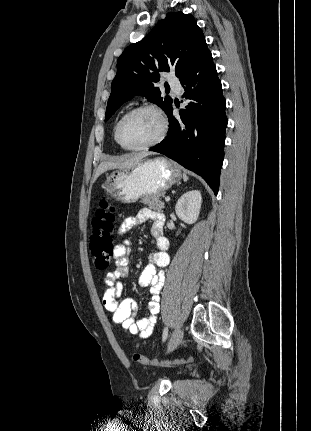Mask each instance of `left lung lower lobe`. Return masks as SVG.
I'll use <instances>...</instances> for the list:
<instances>
[{
    "instance_id": "left-lung-lower-lobe-1",
    "label": "left lung lower lobe",
    "mask_w": 311,
    "mask_h": 431,
    "mask_svg": "<svg viewBox=\"0 0 311 431\" xmlns=\"http://www.w3.org/2000/svg\"><path fill=\"white\" fill-rule=\"evenodd\" d=\"M190 100L180 119L168 111V136L150 151L159 152L202 176L216 195L224 157L226 101L209 50L204 51L180 78Z\"/></svg>"
}]
</instances>
